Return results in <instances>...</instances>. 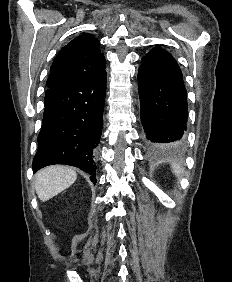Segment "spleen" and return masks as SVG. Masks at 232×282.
I'll use <instances>...</instances> for the list:
<instances>
[{
  "label": "spleen",
  "mask_w": 232,
  "mask_h": 282,
  "mask_svg": "<svg viewBox=\"0 0 232 282\" xmlns=\"http://www.w3.org/2000/svg\"><path fill=\"white\" fill-rule=\"evenodd\" d=\"M173 172L179 177L181 174V167L178 164H173Z\"/></svg>",
  "instance_id": "1"
}]
</instances>
